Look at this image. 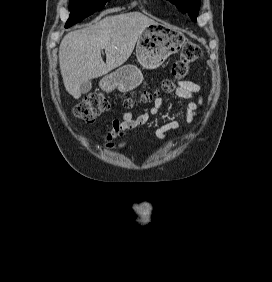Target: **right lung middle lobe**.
<instances>
[{"label":"right lung middle lobe","mask_w":272,"mask_h":282,"mask_svg":"<svg viewBox=\"0 0 272 282\" xmlns=\"http://www.w3.org/2000/svg\"><path fill=\"white\" fill-rule=\"evenodd\" d=\"M109 0H70V17L65 25L68 28L96 11H100Z\"/></svg>","instance_id":"dd1d6c3e"}]
</instances>
